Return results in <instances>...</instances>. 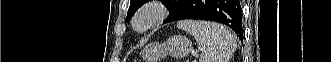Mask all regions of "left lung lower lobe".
Wrapping results in <instances>:
<instances>
[{
	"label": "left lung lower lobe",
	"instance_id": "1",
	"mask_svg": "<svg viewBox=\"0 0 331 62\" xmlns=\"http://www.w3.org/2000/svg\"><path fill=\"white\" fill-rule=\"evenodd\" d=\"M183 19L219 22L232 28L240 39L243 38L240 0H186L168 22Z\"/></svg>",
	"mask_w": 331,
	"mask_h": 62
}]
</instances>
